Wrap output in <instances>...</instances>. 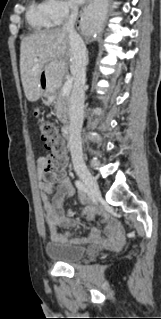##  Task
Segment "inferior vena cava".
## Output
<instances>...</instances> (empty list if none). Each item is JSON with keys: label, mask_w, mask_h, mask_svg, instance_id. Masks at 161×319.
Listing matches in <instances>:
<instances>
[{"label": "inferior vena cava", "mask_w": 161, "mask_h": 319, "mask_svg": "<svg viewBox=\"0 0 161 319\" xmlns=\"http://www.w3.org/2000/svg\"><path fill=\"white\" fill-rule=\"evenodd\" d=\"M71 14L63 24L62 30L66 31L70 39L72 52L71 73L74 85L69 103V148L75 170L85 169L82 153L81 129L84 118V85L86 81L87 50L84 41L74 29L78 15V7L70 5Z\"/></svg>", "instance_id": "obj_1"}]
</instances>
